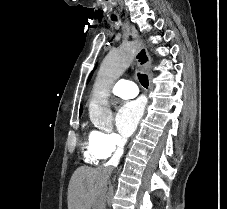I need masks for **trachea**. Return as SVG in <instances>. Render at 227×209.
Segmentation results:
<instances>
[{"label":"trachea","mask_w":227,"mask_h":209,"mask_svg":"<svg viewBox=\"0 0 227 209\" xmlns=\"http://www.w3.org/2000/svg\"><path fill=\"white\" fill-rule=\"evenodd\" d=\"M112 20H117V17L115 15H111ZM139 81L143 87H148V77L147 75H144L142 73L138 74Z\"/></svg>","instance_id":"1"}]
</instances>
